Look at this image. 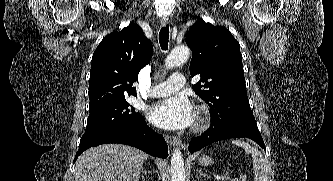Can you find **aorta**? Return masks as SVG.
I'll list each match as a JSON object with an SVG mask.
<instances>
[{"instance_id": "aorta-1", "label": "aorta", "mask_w": 333, "mask_h": 181, "mask_svg": "<svg viewBox=\"0 0 333 181\" xmlns=\"http://www.w3.org/2000/svg\"><path fill=\"white\" fill-rule=\"evenodd\" d=\"M189 48L186 46H179L172 50L166 59V68H173L189 58ZM171 177L172 181H185V167L182 153L179 148L174 149L171 157Z\"/></svg>"}]
</instances>
